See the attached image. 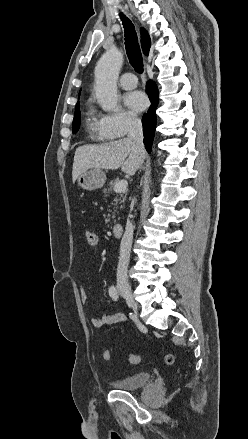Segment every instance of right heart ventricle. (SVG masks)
Here are the masks:
<instances>
[{
    "label": "right heart ventricle",
    "mask_w": 248,
    "mask_h": 439,
    "mask_svg": "<svg viewBox=\"0 0 248 439\" xmlns=\"http://www.w3.org/2000/svg\"><path fill=\"white\" fill-rule=\"evenodd\" d=\"M85 122H86V127H87L88 131L90 132V134L93 137H96V138H99L102 140L112 139L111 137L105 135L104 132L102 131V128L100 126V120L90 105L87 107V110L85 113Z\"/></svg>",
    "instance_id": "right-heart-ventricle-1"
}]
</instances>
